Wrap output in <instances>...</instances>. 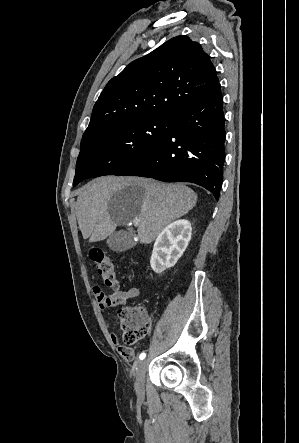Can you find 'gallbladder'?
<instances>
[{
  "label": "gallbladder",
  "instance_id": "bac80fb5",
  "mask_svg": "<svg viewBox=\"0 0 299 443\" xmlns=\"http://www.w3.org/2000/svg\"><path fill=\"white\" fill-rule=\"evenodd\" d=\"M109 248L115 252H123L133 247V235L127 231H116L108 239Z\"/></svg>",
  "mask_w": 299,
  "mask_h": 443
}]
</instances>
